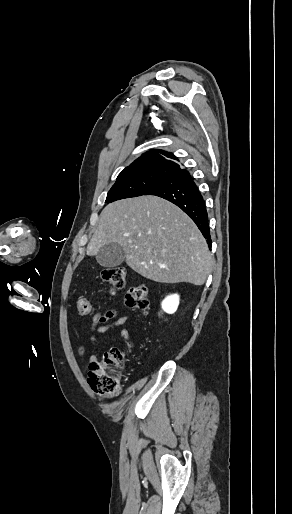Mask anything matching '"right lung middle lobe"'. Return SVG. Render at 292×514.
<instances>
[{
	"label": "right lung middle lobe",
	"mask_w": 292,
	"mask_h": 514,
	"mask_svg": "<svg viewBox=\"0 0 292 514\" xmlns=\"http://www.w3.org/2000/svg\"><path fill=\"white\" fill-rule=\"evenodd\" d=\"M165 172H142L119 175L109 190L106 202L144 195L149 189L168 178Z\"/></svg>",
	"instance_id": "dd1d6c3e"
}]
</instances>
